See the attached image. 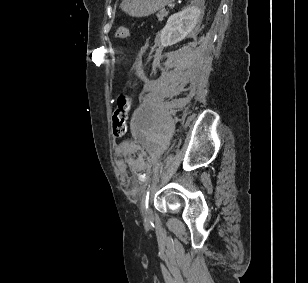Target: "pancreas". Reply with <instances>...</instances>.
Masks as SVG:
<instances>
[{"label": "pancreas", "instance_id": "cf45deb5", "mask_svg": "<svg viewBox=\"0 0 308 283\" xmlns=\"http://www.w3.org/2000/svg\"><path fill=\"white\" fill-rule=\"evenodd\" d=\"M168 16V12L165 11V10H162L160 11L158 14H157V18L159 21H162L164 17Z\"/></svg>", "mask_w": 308, "mask_h": 283}]
</instances>
